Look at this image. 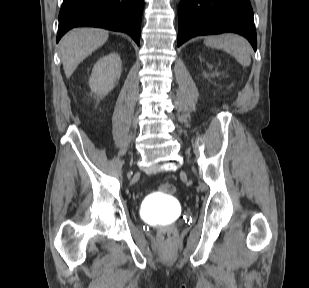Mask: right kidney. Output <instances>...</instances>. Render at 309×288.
<instances>
[{"mask_svg": "<svg viewBox=\"0 0 309 288\" xmlns=\"http://www.w3.org/2000/svg\"><path fill=\"white\" fill-rule=\"evenodd\" d=\"M121 75V60L117 53L101 57L94 65L89 86L98 97H104L115 87Z\"/></svg>", "mask_w": 309, "mask_h": 288, "instance_id": "right-kidney-1", "label": "right kidney"}]
</instances>
